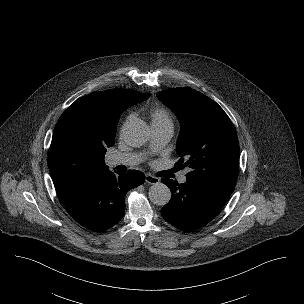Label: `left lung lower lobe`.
I'll list each match as a JSON object with an SVG mask.
<instances>
[{
	"mask_svg": "<svg viewBox=\"0 0 304 304\" xmlns=\"http://www.w3.org/2000/svg\"><path fill=\"white\" fill-rule=\"evenodd\" d=\"M171 200L161 209L162 217L174 227L190 232L208 224L219 213L231 193L187 180L183 184L163 178Z\"/></svg>",
	"mask_w": 304,
	"mask_h": 304,
	"instance_id": "left-lung-lower-lobe-1",
	"label": "left lung lower lobe"
}]
</instances>
